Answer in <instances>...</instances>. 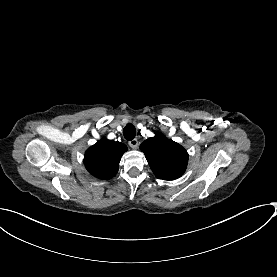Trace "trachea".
<instances>
[{
    "instance_id": "3493384b",
    "label": "trachea",
    "mask_w": 277,
    "mask_h": 277,
    "mask_svg": "<svg viewBox=\"0 0 277 277\" xmlns=\"http://www.w3.org/2000/svg\"><path fill=\"white\" fill-rule=\"evenodd\" d=\"M124 138L127 141H131L136 136V128L133 124H127L123 129Z\"/></svg>"
}]
</instances>
